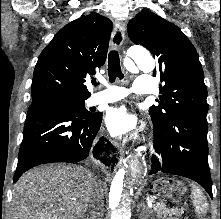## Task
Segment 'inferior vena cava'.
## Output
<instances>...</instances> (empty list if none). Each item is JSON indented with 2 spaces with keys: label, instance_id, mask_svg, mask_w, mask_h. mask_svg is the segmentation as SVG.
Instances as JSON below:
<instances>
[{
  "label": "inferior vena cava",
  "instance_id": "inferior-vena-cava-1",
  "mask_svg": "<svg viewBox=\"0 0 221 219\" xmlns=\"http://www.w3.org/2000/svg\"><path fill=\"white\" fill-rule=\"evenodd\" d=\"M92 194L89 202V219H102L103 217V192L102 180L99 175L93 176Z\"/></svg>",
  "mask_w": 221,
  "mask_h": 219
}]
</instances>
